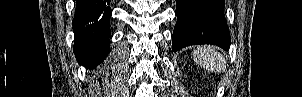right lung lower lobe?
I'll list each match as a JSON object with an SVG mask.
<instances>
[{"instance_id": "obj_1", "label": "right lung lower lobe", "mask_w": 302, "mask_h": 97, "mask_svg": "<svg viewBox=\"0 0 302 97\" xmlns=\"http://www.w3.org/2000/svg\"><path fill=\"white\" fill-rule=\"evenodd\" d=\"M110 0H76L74 53L81 65L94 68L109 50Z\"/></svg>"}]
</instances>
